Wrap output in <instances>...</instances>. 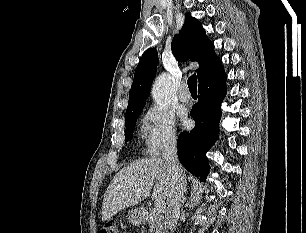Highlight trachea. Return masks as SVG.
<instances>
[{"mask_svg": "<svg viewBox=\"0 0 306 233\" xmlns=\"http://www.w3.org/2000/svg\"><path fill=\"white\" fill-rule=\"evenodd\" d=\"M187 83H188V87H189L190 92H197V76H196V74L191 75L188 78Z\"/></svg>", "mask_w": 306, "mask_h": 233, "instance_id": "trachea-1", "label": "trachea"}]
</instances>
